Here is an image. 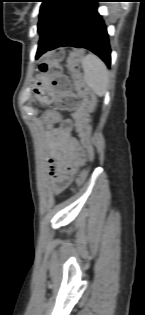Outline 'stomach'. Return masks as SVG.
<instances>
[{
	"instance_id": "stomach-1",
	"label": "stomach",
	"mask_w": 145,
	"mask_h": 315,
	"mask_svg": "<svg viewBox=\"0 0 145 315\" xmlns=\"http://www.w3.org/2000/svg\"><path fill=\"white\" fill-rule=\"evenodd\" d=\"M42 75L43 73L39 74L38 84L32 85V98H36L38 101L44 104H50L53 101L52 94L49 93L51 87L43 86ZM40 116H43L42 120L46 121V116H55V109H40Z\"/></svg>"
}]
</instances>
